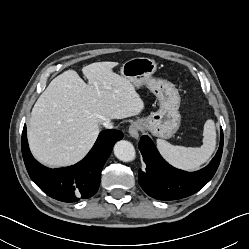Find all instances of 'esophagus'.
<instances>
[{
    "mask_svg": "<svg viewBox=\"0 0 249 249\" xmlns=\"http://www.w3.org/2000/svg\"><path fill=\"white\" fill-rule=\"evenodd\" d=\"M140 129H141V123L140 122H133L129 127L130 136L135 138V139H138Z\"/></svg>",
    "mask_w": 249,
    "mask_h": 249,
    "instance_id": "34e87169",
    "label": "esophagus"
}]
</instances>
